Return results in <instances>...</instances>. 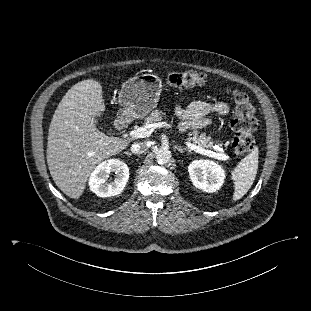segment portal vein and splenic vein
Wrapping results in <instances>:
<instances>
[{"mask_svg": "<svg viewBox=\"0 0 311 311\" xmlns=\"http://www.w3.org/2000/svg\"><path fill=\"white\" fill-rule=\"evenodd\" d=\"M170 125L166 122H158L153 124H147L145 126L139 127L137 129H134L130 131L129 135L132 138H146L149 137L154 129L156 128H162V127H169ZM185 144L193 151L198 152L200 154H204L209 157H213L215 159L219 160H227L229 159V156L225 155L224 153H216L211 150L204 149L202 147H199L195 144H192L191 142L185 141Z\"/></svg>", "mask_w": 311, "mask_h": 311, "instance_id": "portal-vein-and-splenic-vein-1", "label": "portal vein and splenic vein"}]
</instances>
